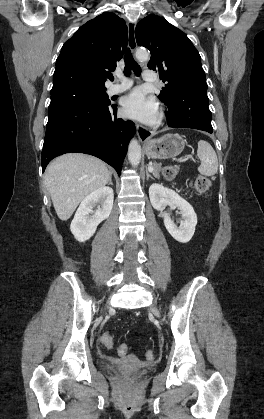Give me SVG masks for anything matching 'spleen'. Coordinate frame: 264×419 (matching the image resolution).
Returning <instances> with one entry per match:
<instances>
[{"mask_svg":"<svg viewBox=\"0 0 264 419\" xmlns=\"http://www.w3.org/2000/svg\"><path fill=\"white\" fill-rule=\"evenodd\" d=\"M197 156L201 161L198 171L204 176H213L218 171V159L213 147L205 140L198 142Z\"/></svg>","mask_w":264,"mask_h":419,"instance_id":"obj_1","label":"spleen"}]
</instances>
